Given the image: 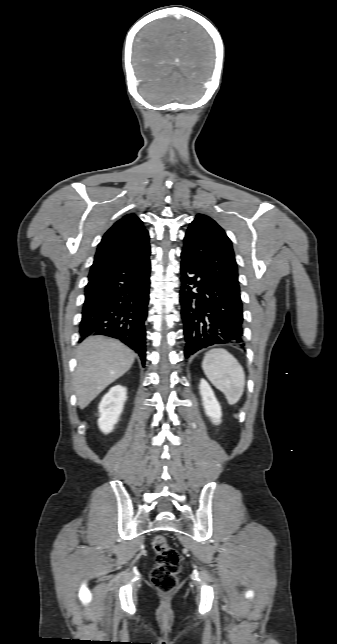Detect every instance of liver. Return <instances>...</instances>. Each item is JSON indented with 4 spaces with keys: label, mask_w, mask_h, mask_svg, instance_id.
<instances>
[{
    "label": "liver",
    "mask_w": 337,
    "mask_h": 644,
    "mask_svg": "<svg viewBox=\"0 0 337 644\" xmlns=\"http://www.w3.org/2000/svg\"><path fill=\"white\" fill-rule=\"evenodd\" d=\"M76 358L73 387L78 406L84 409L131 368L135 353L118 340L91 336L78 346Z\"/></svg>",
    "instance_id": "1"
}]
</instances>
